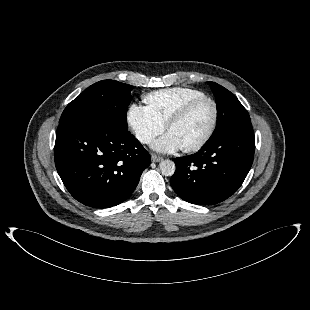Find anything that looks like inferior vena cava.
Returning <instances> with one entry per match:
<instances>
[{
    "mask_svg": "<svg viewBox=\"0 0 310 310\" xmlns=\"http://www.w3.org/2000/svg\"><path fill=\"white\" fill-rule=\"evenodd\" d=\"M138 139L142 142V143H150L152 141V137L149 135H142V136H138Z\"/></svg>",
    "mask_w": 310,
    "mask_h": 310,
    "instance_id": "602c4592",
    "label": "inferior vena cava"
}]
</instances>
